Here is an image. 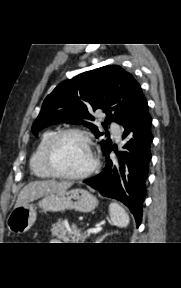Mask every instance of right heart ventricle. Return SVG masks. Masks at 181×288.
I'll list each match as a JSON object with an SVG mask.
<instances>
[{
	"instance_id": "obj_1",
	"label": "right heart ventricle",
	"mask_w": 181,
	"mask_h": 288,
	"mask_svg": "<svg viewBox=\"0 0 181 288\" xmlns=\"http://www.w3.org/2000/svg\"><path fill=\"white\" fill-rule=\"evenodd\" d=\"M55 133L56 132L53 130L46 131L42 135L36 149L34 150L31 156L30 159L31 172L39 179H53L57 177L48 169L44 158L47 145Z\"/></svg>"
}]
</instances>
